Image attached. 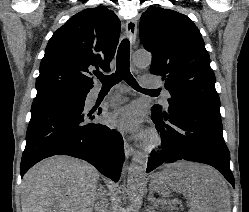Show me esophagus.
I'll list each match as a JSON object with an SVG mask.
<instances>
[{
    "mask_svg": "<svg viewBox=\"0 0 249 212\" xmlns=\"http://www.w3.org/2000/svg\"><path fill=\"white\" fill-rule=\"evenodd\" d=\"M125 31L130 44L135 45L137 39V20H127ZM124 150L127 157H131L135 153V148L127 141L124 142Z\"/></svg>",
    "mask_w": 249,
    "mask_h": 212,
    "instance_id": "obj_1",
    "label": "esophagus"
}]
</instances>
